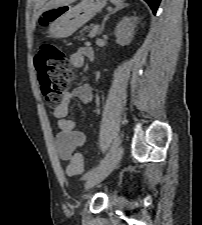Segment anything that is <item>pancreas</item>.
Returning a JSON list of instances; mask_svg holds the SVG:
<instances>
[{
    "label": "pancreas",
    "instance_id": "pancreas-1",
    "mask_svg": "<svg viewBox=\"0 0 202 225\" xmlns=\"http://www.w3.org/2000/svg\"><path fill=\"white\" fill-rule=\"evenodd\" d=\"M93 28V25H90V26H87V27H84L83 30L80 32L81 34L83 33V31H89L90 29Z\"/></svg>",
    "mask_w": 202,
    "mask_h": 225
}]
</instances>
